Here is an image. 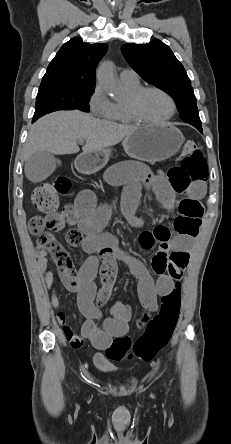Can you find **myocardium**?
Instances as JSON below:
<instances>
[{
	"label": "myocardium",
	"mask_w": 231,
	"mask_h": 444,
	"mask_svg": "<svg viewBox=\"0 0 231 444\" xmlns=\"http://www.w3.org/2000/svg\"><path fill=\"white\" fill-rule=\"evenodd\" d=\"M149 91H155L158 92L162 95H164L168 101L170 102L171 105V112L170 114L160 120H150L145 118L140 110H139V102L142 98V96ZM126 106H127V110L129 115L132 117V119L135 122H139V123H144V124H151V125H159V124H163L166 123L168 121H170L176 114V103L175 100L173 99V97L166 92L164 89L160 88V87H156V86H145V87H140L139 89H137L135 92H133L127 99L126 102Z\"/></svg>",
	"instance_id": "1"
}]
</instances>
